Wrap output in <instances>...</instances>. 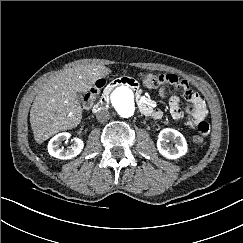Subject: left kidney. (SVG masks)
Masks as SVG:
<instances>
[{
  "mask_svg": "<svg viewBox=\"0 0 243 243\" xmlns=\"http://www.w3.org/2000/svg\"><path fill=\"white\" fill-rule=\"evenodd\" d=\"M169 141L175 143L173 148L169 147ZM157 149L165 158L177 159L186 154L188 147L184 136L179 131L172 128H165L158 135Z\"/></svg>",
  "mask_w": 243,
  "mask_h": 243,
  "instance_id": "left-kidney-1",
  "label": "left kidney"
}]
</instances>
